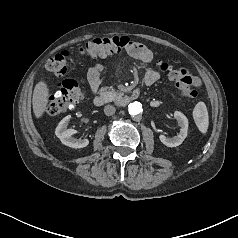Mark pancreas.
<instances>
[{
  "instance_id": "obj_1",
  "label": "pancreas",
  "mask_w": 238,
  "mask_h": 238,
  "mask_svg": "<svg viewBox=\"0 0 238 238\" xmlns=\"http://www.w3.org/2000/svg\"><path fill=\"white\" fill-rule=\"evenodd\" d=\"M100 92L108 101H118L122 98L123 93L116 91L114 88L101 87Z\"/></svg>"
}]
</instances>
